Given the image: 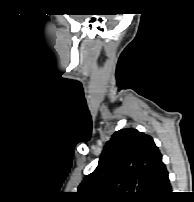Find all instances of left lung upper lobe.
Here are the masks:
<instances>
[{"label": "left lung upper lobe", "mask_w": 194, "mask_h": 202, "mask_svg": "<svg viewBox=\"0 0 194 202\" xmlns=\"http://www.w3.org/2000/svg\"><path fill=\"white\" fill-rule=\"evenodd\" d=\"M163 168L151 136L121 129L106 143L97 168L79 185L78 195L86 202L151 199Z\"/></svg>", "instance_id": "5c2ea615"}]
</instances>
